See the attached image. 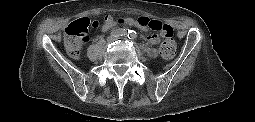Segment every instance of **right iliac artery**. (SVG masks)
Segmentation results:
<instances>
[{
  "label": "right iliac artery",
  "mask_w": 255,
  "mask_h": 122,
  "mask_svg": "<svg viewBox=\"0 0 255 122\" xmlns=\"http://www.w3.org/2000/svg\"><path fill=\"white\" fill-rule=\"evenodd\" d=\"M131 32V30H125V29H117L115 31H113L111 34L112 36L118 37V36H125V35H129V33Z\"/></svg>",
  "instance_id": "obj_1"
}]
</instances>
